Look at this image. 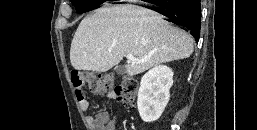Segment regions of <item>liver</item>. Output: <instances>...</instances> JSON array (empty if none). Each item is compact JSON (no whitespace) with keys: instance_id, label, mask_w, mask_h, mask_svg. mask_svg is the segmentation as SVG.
I'll return each mask as SVG.
<instances>
[{"instance_id":"6515ba94","label":"liver","mask_w":257,"mask_h":130,"mask_svg":"<svg viewBox=\"0 0 257 130\" xmlns=\"http://www.w3.org/2000/svg\"><path fill=\"white\" fill-rule=\"evenodd\" d=\"M193 38L163 16L133 5L102 7L79 24L70 48L76 70L106 72L128 54L140 63L125 65L134 76L158 64L190 57Z\"/></svg>"}]
</instances>
